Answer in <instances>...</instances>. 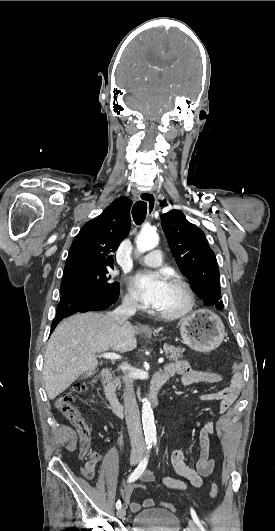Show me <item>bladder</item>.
Instances as JSON below:
<instances>
[{
    "label": "bladder",
    "instance_id": "1",
    "mask_svg": "<svg viewBox=\"0 0 275 531\" xmlns=\"http://www.w3.org/2000/svg\"><path fill=\"white\" fill-rule=\"evenodd\" d=\"M133 531H180V520L165 508L146 509L135 514Z\"/></svg>",
    "mask_w": 275,
    "mask_h": 531
}]
</instances>
